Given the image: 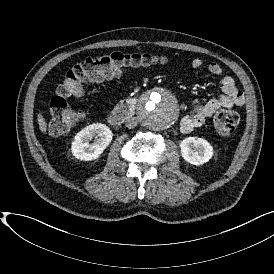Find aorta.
I'll use <instances>...</instances> for the list:
<instances>
[{"label":"aorta","mask_w":274,"mask_h":274,"mask_svg":"<svg viewBox=\"0 0 274 274\" xmlns=\"http://www.w3.org/2000/svg\"><path fill=\"white\" fill-rule=\"evenodd\" d=\"M179 109L173 94L161 89L153 91L138 107L139 120L152 130H164L177 120Z\"/></svg>","instance_id":"obj_1"}]
</instances>
